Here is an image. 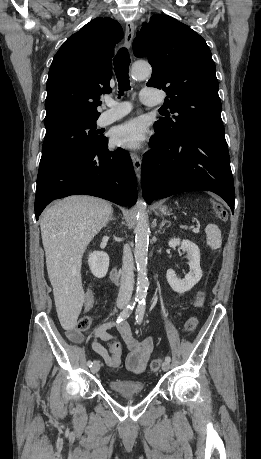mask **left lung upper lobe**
I'll return each instance as SVG.
<instances>
[{
	"instance_id": "obj_1",
	"label": "left lung upper lobe",
	"mask_w": 261,
	"mask_h": 459,
	"mask_svg": "<svg viewBox=\"0 0 261 459\" xmlns=\"http://www.w3.org/2000/svg\"><path fill=\"white\" fill-rule=\"evenodd\" d=\"M133 42L137 57L147 56L153 71L147 86L166 91L164 106L173 119L154 124L170 138L204 130H224L216 67L205 40L187 25L168 15L144 23Z\"/></svg>"
}]
</instances>
